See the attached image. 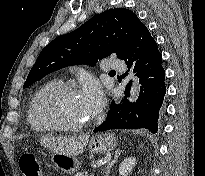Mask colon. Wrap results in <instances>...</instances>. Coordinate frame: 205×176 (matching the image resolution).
Returning <instances> with one entry per match:
<instances>
[{
	"label": "colon",
	"mask_w": 205,
	"mask_h": 176,
	"mask_svg": "<svg viewBox=\"0 0 205 176\" xmlns=\"http://www.w3.org/2000/svg\"><path fill=\"white\" fill-rule=\"evenodd\" d=\"M19 166L24 176H43L42 163L33 155H22Z\"/></svg>",
	"instance_id": "obj_1"
}]
</instances>
